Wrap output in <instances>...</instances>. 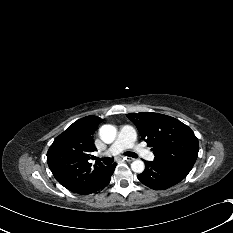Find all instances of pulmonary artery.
<instances>
[{"instance_id":"1","label":"pulmonary artery","mask_w":233,"mask_h":233,"mask_svg":"<svg viewBox=\"0 0 233 233\" xmlns=\"http://www.w3.org/2000/svg\"><path fill=\"white\" fill-rule=\"evenodd\" d=\"M136 138L137 134L134 127L124 125L120 130L118 139L111 145L107 153L115 156L126 149H132L145 159L152 160L154 158L153 154L139 145L136 142Z\"/></svg>"}]
</instances>
